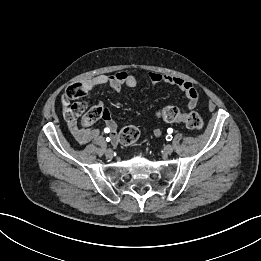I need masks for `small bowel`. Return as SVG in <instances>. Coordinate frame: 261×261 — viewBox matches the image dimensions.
Segmentation results:
<instances>
[{
    "instance_id": "c3829d8e",
    "label": "small bowel",
    "mask_w": 261,
    "mask_h": 261,
    "mask_svg": "<svg viewBox=\"0 0 261 261\" xmlns=\"http://www.w3.org/2000/svg\"><path fill=\"white\" fill-rule=\"evenodd\" d=\"M148 76L150 81L154 84L167 83L183 91L188 99L187 106L189 110L194 109L198 104L199 93L197 89L190 82L176 76L164 75L157 72H150ZM80 83L82 85L84 93H88L93 89L104 85H108L114 91L120 93L123 86H127L129 88L136 87L137 78L135 75L130 74L128 72L119 71L114 74L99 75L94 78L84 80ZM97 105L101 108L102 112H104L103 119L105 120L106 128L109 129V132L113 136L114 141H116V129H117L116 122L112 119V117L109 114V111L106 108H104L103 105L101 104H97ZM68 111H69V107H66L64 109V116L68 122L72 135L78 142L84 144L93 139H96L100 135V131L98 129L90 127L93 122H87L85 118H83L82 126H79L77 124L76 118H70L68 116ZM105 133L107 132L105 131ZM161 133H162L161 129L155 130L156 136H160Z\"/></svg>"
}]
</instances>
